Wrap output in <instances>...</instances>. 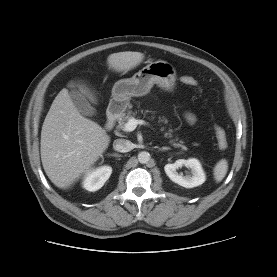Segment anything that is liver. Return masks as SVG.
<instances>
[{
  "instance_id": "obj_1",
  "label": "liver",
  "mask_w": 277,
  "mask_h": 277,
  "mask_svg": "<svg viewBox=\"0 0 277 277\" xmlns=\"http://www.w3.org/2000/svg\"><path fill=\"white\" fill-rule=\"evenodd\" d=\"M143 59V53L126 51L110 54L107 64L117 72H126L138 66ZM79 89L94 101L83 86L79 85ZM109 143L106 131L98 123L82 116L68 89L63 88L52 102L41 130V161L51 182L62 189L71 186L91 171Z\"/></svg>"
}]
</instances>
